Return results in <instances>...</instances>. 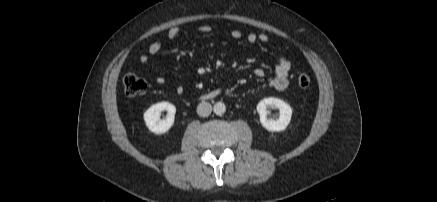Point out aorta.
I'll return each instance as SVG.
<instances>
[{
  "mask_svg": "<svg viewBox=\"0 0 437 202\" xmlns=\"http://www.w3.org/2000/svg\"><path fill=\"white\" fill-rule=\"evenodd\" d=\"M214 113L216 115H222L225 113L226 111V106L224 103L222 102H217L215 103L214 107H213Z\"/></svg>",
  "mask_w": 437,
  "mask_h": 202,
  "instance_id": "obj_1",
  "label": "aorta"
}]
</instances>
